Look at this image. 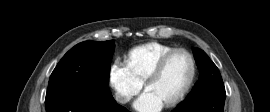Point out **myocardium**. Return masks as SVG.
Here are the masks:
<instances>
[{
    "mask_svg": "<svg viewBox=\"0 0 270 112\" xmlns=\"http://www.w3.org/2000/svg\"><path fill=\"white\" fill-rule=\"evenodd\" d=\"M177 53H183L189 58L190 64H191V74H190L187 84L185 85L183 90L180 92V94L177 95L171 101H169L167 104H165L166 108H171L178 105L180 102H182L186 98V96L189 94L190 90L192 89L196 80V76H197V64H196V60L193 54L185 48H174L170 50L169 52L165 53L157 61V63L155 64V66L150 71V73L148 74L147 78L144 81V89L146 90L147 86L160 76L168 60Z\"/></svg>",
    "mask_w": 270,
    "mask_h": 112,
    "instance_id": "obj_1",
    "label": "myocardium"
}]
</instances>
